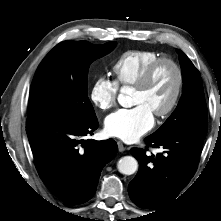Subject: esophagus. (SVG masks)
<instances>
[{"mask_svg":"<svg viewBox=\"0 0 221 221\" xmlns=\"http://www.w3.org/2000/svg\"><path fill=\"white\" fill-rule=\"evenodd\" d=\"M117 145H118V149L120 152H123L126 150V146H124V144L121 141H118Z\"/></svg>","mask_w":221,"mask_h":221,"instance_id":"obj_1","label":"esophagus"}]
</instances>
